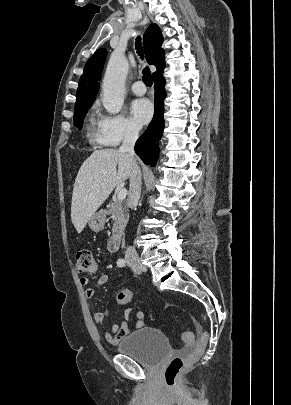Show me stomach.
Listing matches in <instances>:
<instances>
[{"label":"stomach","mask_w":291,"mask_h":405,"mask_svg":"<svg viewBox=\"0 0 291 405\" xmlns=\"http://www.w3.org/2000/svg\"><path fill=\"white\" fill-rule=\"evenodd\" d=\"M105 221L106 212L104 210H100L92 215L88 221V225L92 231L99 232L104 228Z\"/></svg>","instance_id":"0dacf381"}]
</instances>
